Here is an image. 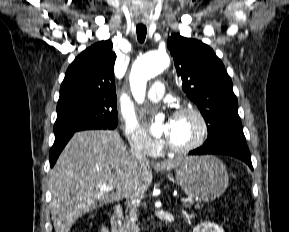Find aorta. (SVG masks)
Segmentation results:
<instances>
[{"label":"aorta","mask_w":289,"mask_h":232,"mask_svg":"<svg viewBox=\"0 0 289 232\" xmlns=\"http://www.w3.org/2000/svg\"><path fill=\"white\" fill-rule=\"evenodd\" d=\"M169 64L170 59L164 52H149L136 60L130 74V87L138 103L144 101L147 81L164 71ZM150 129L153 134L161 131L159 118Z\"/></svg>","instance_id":"762f6f07"}]
</instances>
